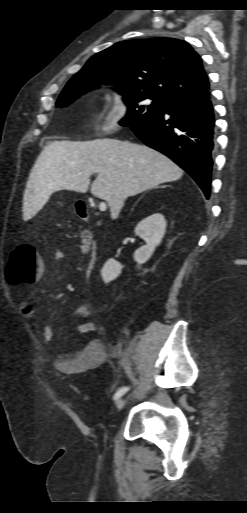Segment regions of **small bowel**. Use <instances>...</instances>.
I'll list each match as a JSON object with an SVG mask.
<instances>
[{"label": "small bowel", "mask_w": 247, "mask_h": 513, "mask_svg": "<svg viewBox=\"0 0 247 513\" xmlns=\"http://www.w3.org/2000/svg\"><path fill=\"white\" fill-rule=\"evenodd\" d=\"M54 258L55 260H63V252L56 251ZM22 312L27 318L32 317L34 314V310L28 302L23 303ZM90 314L91 308L88 304H81L74 310L73 316L77 320L79 333L90 335L97 331L96 324L87 320ZM39 332L44 343L48 344L53 340L54 331L49 325L43 324L39 326ZM121 353V344H115L108 348L102 340L93 338L80 352L58 353L53 356L51 363L59 373L80 374L101 366L109 358H119Z\"/></svg>", "instance_id": "obj_1"}]
</instances>
